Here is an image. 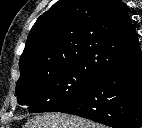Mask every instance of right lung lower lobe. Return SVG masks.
<instances>
[{
	"label": "right lung lower lobe",
	"instance_id": "obj_1",
	"mask_svg": "<svg viewBox=\"0 0 142 128\" xmlns=\"http://www.w3.org/2000/svg\"><path fill=\"white\" fill-rule=\"evenodd\" d=\"M55 111L113 128L142 127V57L103 74L88 89Z\"/></svg>",
	"mask_w": 142,
	"mask_h": 128
}]
</instances>
